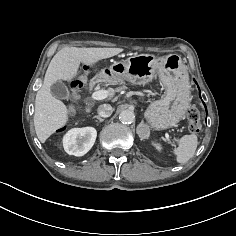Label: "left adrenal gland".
Here are the masks:
<instances>
[{
    "instance_id": "1",
    "label": "left adrenal gland",
    "mask_w": 236,
    "mask_h": 236,
    "mask_svg": "<svg viewBox=\"0 0 236 236\" xmlns=\"http://www.w3.org/2000/svg\"><path fill=\"white\" fill-rule=\"evenodd\" d=\"M145 126H146V125L144 124L143 121L138 125V127H137V134H138L139 136H141V128H142V127H145Z\"/></svg>"
}]
</instances>
